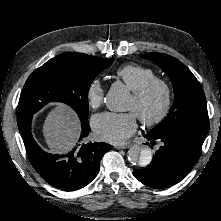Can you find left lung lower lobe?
<instances>
[{
  "label": "left lung lower lobe",
  "mask_w": 221,
  "mask_h": 221,
  "mask_svg": "<svg viewBox=\"0 0 221 221\" xmlns=\"http://www.w3.org/2000/svg\"><path fill=\"white\" fill-rule=\"evenodd\" d=\"M145 138L151 140V144H155V140L163 142L151 163L133 172L136 179L152 188H166L181 181L198 161L203 144L185 135L154 136L148 133Z\"/></svg>",
  "instance_id": "obj_1"
}]
</instances>
